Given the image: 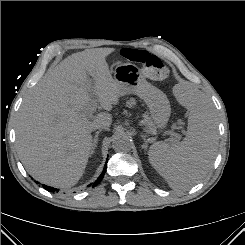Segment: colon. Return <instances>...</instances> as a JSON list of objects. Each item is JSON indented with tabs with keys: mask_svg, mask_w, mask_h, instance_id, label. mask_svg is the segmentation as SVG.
Returning <instances> with one entry per match:
<instances>
[{
	"mask_svg": "<svg viewBox=\"0 0 245 245\" xmlns=\"http://www.w3.org/2000/svg\"><path fill=\"white\" fill-rule=\"evenodd\" d=\"M122 56L128 61L141 64L144 74L150 79L163 81L169 76V70L162 60L146 51L124 49Z\"/></svg>",
	"mask_w": 245,
	"mask_h": 245,
	"instance_id": "5ec220e1",
	"label": "colon"
}]
</instances>
